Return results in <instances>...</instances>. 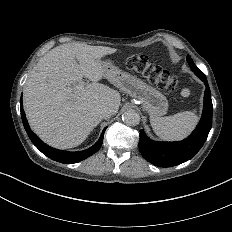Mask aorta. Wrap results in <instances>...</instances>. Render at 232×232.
Listing matches in <instances>:
<instances>
[{
  "mask_svg": "<svg viewBox=\"0 0 232 232\" xmlns=\"http://www.w3.org/2000/svg\"><path fill=\"white\" fill-rule=\"evenodd\" d=\"M123 121L127 125L136 126L140 123V115L137 111L129 109L123 113Z\"/></svg>",
  "mask_w": 232,
  "mask_h": 232,
  "instance_id": "obj_1",
  "label": "aorta"
}]
</instances>
